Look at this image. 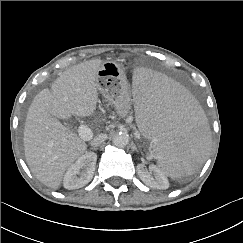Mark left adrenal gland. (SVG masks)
Instances as JSON below:
<instances>
[{"instance_id": "obj_1", "label": "left adrenal gland", "mask_w": 243, "mask_h": 243, "mask_svg": "<svg viewBox=\"0 0 243 243\" xmlns=\"http://www.w3.org/2000/svg\"><path fill=\"white\" fill-rule=\"evenodd\" d=\"M134 150L138 152V150H137V148H136V147H134Z\"/></svg>"}]
</instances>
